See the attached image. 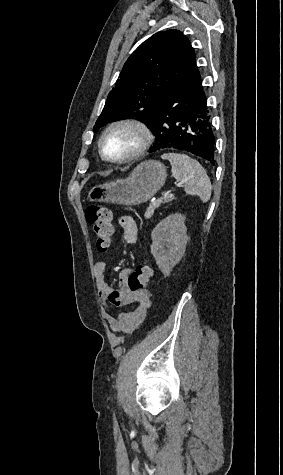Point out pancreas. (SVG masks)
Wrapping results in <instances>:
<instances>
[{
	"label": "pancreas",
	"mask_w": 283,
	"mask_h": 475,
	"mask_svg": "<svg viewBox=\"0 0 283 475\" xmlns=\"http://www.w3.org/2000/svg\"><path fill=\"white\" fill-rule=\"evenodd\" d=\"M172 200H176L173 194H167V196H163V198H158V200H155V202H151L148 208H146L144 218H146V220H148V218H152L154 210H156V208H159L161 204H167V202H172Z\"/></svg>",
	"instance_id": "obj_1"
}]
</instances>
